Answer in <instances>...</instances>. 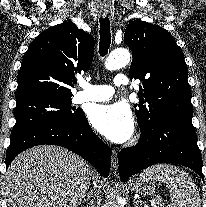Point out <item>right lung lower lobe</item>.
Returning <instances> with one entry per match:
<instances>
[{
  "label": "right lung lower lobe",
  "instance_id": "right-lung-lower-lobe-1",
  "mask_svg": "<svg viewBox=\"0 0 206 207\" xmlns=\"http://www.w3.org/2000/svg\"><path fill=\"white\" fill-rule=\"evenodd\" d=\"M49 144L65 147L90 162L103 177L110 171V149L92 131L85 115L78 121H47L13 130L6 167L22 151Z\"/></svg>",
  "mask_w": 206,
  "mask_h": 207
}]
</instances>
